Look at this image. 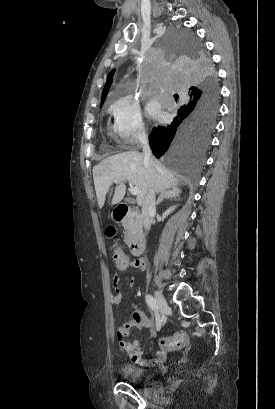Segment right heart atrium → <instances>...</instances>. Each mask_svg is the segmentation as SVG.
I'll use <instances>...</instances> for the list:
<instances>
[{
	"mask_svg": "<svg viewBox=\"0 0 275 409\" xmlns=\"http://www.w3.org/2000/svg\"><path fill=\"white\" fill-rule=\"evenodd\" d=\"M113 115L120 143H141L147 138L141 110L130 100H120L113 108Z\"/></svg>",
	"mask_w": 275,
	"mask_h": 409,
	"instance_id": "obj_1",
	"label": "right heart atrium"
}]
</instances>
